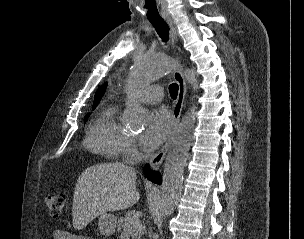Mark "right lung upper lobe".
I'll list each match as a JSON object with an SVG mask.
<instances>
[{"label":"right lung upper lobe","mask_w":304,"mask_h":239,"mask_svg":"<svg viewBox=\"0 0 304 239\" xmlns=\"http://www.w3.org/2000/svg\"><path fill=\"white\" fill-rule=\"evenodd\" d=\"M105 87L106 85H104L103 87L99 88L98 91L96 92V95H95V100H94V103H93V108L97 106V104L99 103L104 91H105Z\"/></svg>","instance_id":"1"}]
</instances>
